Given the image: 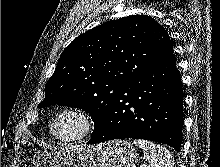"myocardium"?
<instances>
[{"mask_svg": "<svg viewBox=\"0 0 220 167\" xmlns=\"http://www.w3.org/2000/svg\"><path fill=\"white\" fill-rule=\"evenodd\" d=\"M65 116H74L79 120L80 123L79 130L70 137H61L58 136L55 132V125L61 118ZM95 129L96 122L92 114L86 109L79 106H69L63 108L58 113H56L49 126L50 134L52 135V137L56 141L64 144H72L83 141L89 138L93 134Z\"/></svg>", "mask_w": 220, "mask_h": 167, "instance_id": "f54148a6", "label": "myocardium"}]
</instances>
